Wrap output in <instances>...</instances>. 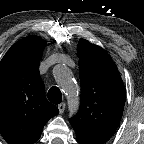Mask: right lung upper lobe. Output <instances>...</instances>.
I'll use <instances>...</instances> for the list:
<instances>
[{
    "instance_id": "right-lung-upper-lobe-1",
    "label": "right lung upper lobe",
    "mask_w": 144,
    "mask_h": 144,
    "mask_svg": "<svg viewBox=\"0 0 144 144\" xmlns=\"http://www.w3.org/2000/svg\"><path fill=\"white\" fill-rule=\"evenodd\" d=\"M46 41L28 36L0 62V134L8 144H33L47 121L59 113L45 97L39 61Z\"/></svg>"
}]
</instances>
